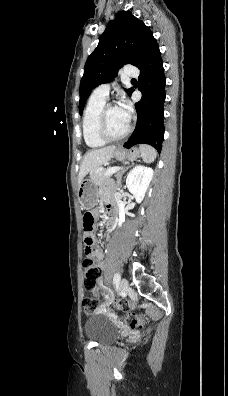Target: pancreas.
<instances>
[{
  "label": "pancreas",
  "instance_id": "1",
  "mask_svg": "<svg viewBox=\"0 0 228 396\" xmlns=\"http://www.w3.org/2000/svg\"><path fill=\"white\" fill-rule=\"evenodd\" d=\"M107 169H102L99 171H94L91 174V180L94 184L97 186H100L105 183L106 180H108L109 176H105Z\"/></svg>",
  "mask_w": 228,
  "mask_h": 396
}]
</instances>
